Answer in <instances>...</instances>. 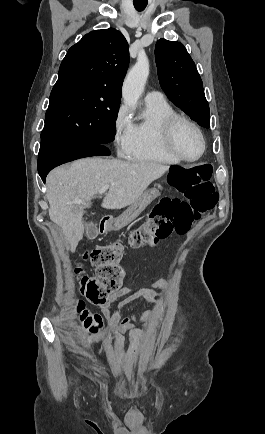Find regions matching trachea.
Wrapping results in <instances>:
<instances>
[{
  "mask_svg": "<svg viewBox=\"0 0 265 434\" xmlns=\"http://www.w3.org/2000/svg\"><path fill=\"white\" fill-rule=\"evenodd\" d=\"M147 6V3H134V7L136 8V10H138V12H142V10H144Z\"/></svg>",
  "mask_w": 265,
  "mask_h": 434,
  "instance_id": "trachea-1",
  "label": "trachea"
}]
</instances>
